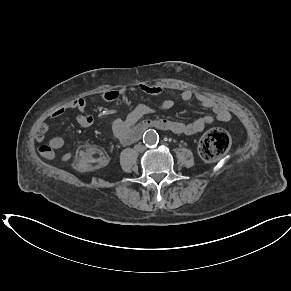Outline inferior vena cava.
<instances>
[{
	"instance_id": "1",
	"label": "inferior vena cava",
	"mask_w": 291,
	"mask_h": 291,
	"mask_svg": "<svg viewBox=\"0 0 291 291\" xmlns=\"http://www.w3.org/2000/svg\"><path fill=\"white\" fill-rule=\"evenodd\" d=\"M145 147L144 146H140L139 147V151H144Z\"/></svg>"
}]
</instances>
